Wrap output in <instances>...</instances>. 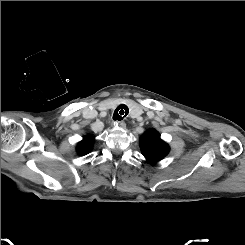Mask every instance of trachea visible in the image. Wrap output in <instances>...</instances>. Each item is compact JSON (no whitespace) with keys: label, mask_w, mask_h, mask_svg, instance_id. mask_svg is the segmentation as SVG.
I'll return each instance as SVG.
<instances>
[{"label":"trachea","mask_w":245,"mask_h":245,"mask_svg":"<svg viewBox=\"0 0 245 245\" xmlns=\"http://www.w3.org/2000/svg\"><path fill=\"white\" fill-rule=\"evenodd\" d=\"M128 113H129L128 107L124 104H121L115 109L113 119L121 121L128 115Z\"/></svg>","instance_id":"trachea-1"}]
</instances>
